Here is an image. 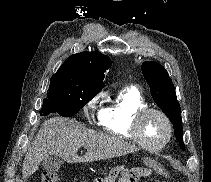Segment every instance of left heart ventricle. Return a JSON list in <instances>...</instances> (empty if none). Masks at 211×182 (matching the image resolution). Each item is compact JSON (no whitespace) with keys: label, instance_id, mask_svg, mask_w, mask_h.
Returning a JSON list of instances; mask_svg holds the SVG:
<instances>
[{"label":"left heart ventricle","instance_id":"b2bd125f","mask_svg":"<svg viewBox=\"0 0 211 182\" xmlns=\"http://www.w3.org/2000/svg\"><path fill=\"white\" fill-rule=\"evenodd\" d=\"M142 139L150 145H158L167 136V126L164 120L157 114L146 115L140 125Z\"/></svg>","mask_w":211,"mask_h":182}]
</instances>
